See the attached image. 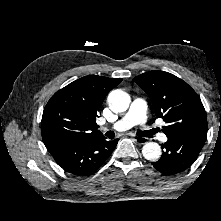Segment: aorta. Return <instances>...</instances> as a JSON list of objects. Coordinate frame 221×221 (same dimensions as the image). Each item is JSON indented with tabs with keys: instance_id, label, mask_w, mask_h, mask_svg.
<instances>
[{
	"instance_id": "1",
	"label": "aorta",
	"mask_w": 221,
	"mask_h": 221,
	"mask_svg": "<svg viewBox=\"0 0 221 221\" xmlns=\"http://www.w3.org/2000/svg\"><path fill=\"white\" fill-rule=\"evenodd\" d=\"M107 102L114 112H124L129 108L131 98L128 93L121 89L109 93ZM143 157L149 161H158L161 157V148L155 142H147L142 148Z\"/></svg>"
}]
</instances>
